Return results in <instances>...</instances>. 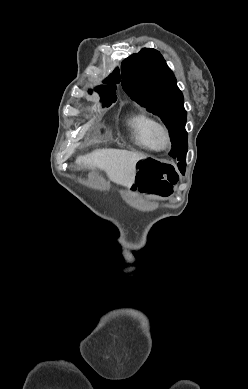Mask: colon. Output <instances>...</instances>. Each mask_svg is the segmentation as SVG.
Returning a JSON list of instances; mask_svg holds the SVG:
<instances>
[{
  "instance_id": "colon-1",
  "label": "colon",
  "mask_w": 248,
  "mask_h": 389,
  "mask_svg": "<svg viewBox=\"0 0 248 389\" xmlns=\"http://www.w3.org/2000/svg\"><path fill=\"white\" fill-rule=\"evenodd\" d=\"M137 179L132 181L133 189L161 197L169 196L178 181V174L170 161H156L154 157H138Z\"/></svg>"
}]
</instances>
